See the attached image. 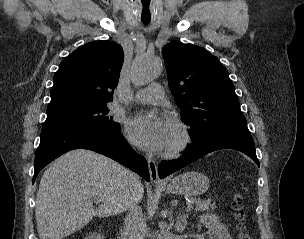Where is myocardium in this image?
I'll return each instance as SVG.
<instances>
[{"mask_svg": "<svg viewBox=\"0 0 304 239\" xmlns=\"http://www.w3.org/2000/svg\"><path fill=\"white\" fill-rule=\"evenodd\" d=\"M175 127L178 139L165 149L164 156L168 158L177 157L184 153L191 146L194 139L192 128L186 122L177 120L175 121Z\"/></svg>", "mask_w": 304, "mask_h": 239, "instance_id": "obj_1", "label": "myocardium"}]
</instances>
